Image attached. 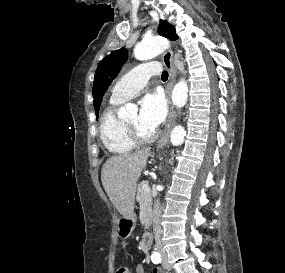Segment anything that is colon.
<instances>
[{"instance_id":"5ec220e1","label":"colon","mask_w":285,"mask_h":273,"mask_svg":"<svg viewBox=\"0 0 285 273\" xmlns=\"http://www.w3.org/2000/svg\"><path fill=\"white\" fill-rule=\"evenodd\" d=\"M129 269L126 267H119L116 273H129Z\"/></svg>"}]
</instances>
